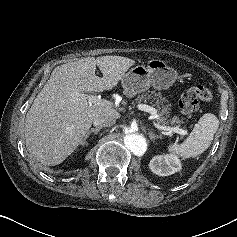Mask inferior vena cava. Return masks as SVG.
Wrapping results in <instances>:
<instances>
[{
  "label": "inferior vena cava",
  "instance_id": "obj_1",
  "mask_svg": "<svg viewBox=\"0 0 237 237\" xmlns=\"http://www.w3.org/2000/svg\"><path fill=\"white\" fill-rule=\"evenodd\" d=\"M116 122V119L110 115H102V116H99L97 117L93 124L94 126L96 127H109V126H112L114 125Z\"/></svg>",
  "mask_w": 237,
  "mask_h": 237
}]
</instances>
